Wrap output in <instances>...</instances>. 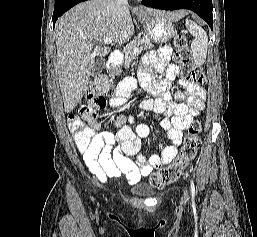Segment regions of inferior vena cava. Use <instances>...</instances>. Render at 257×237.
Instances as JSON below:
<instances>
[{
	"label": "inferior vena cava",
	"mask_w": 257,
	"mask_h": 237,
	"mask_svg": "<svg viewBox=\"0 0 257 237\" xmlns=\"http://www.w3.org/2000/svg\"><path fill=\"white\" fill-rule=\"evenodd\" d=\"M117 3L119 5H123V6H127L128 5V1L127 0H117Z\"/></svg>",
	"instance_id": "inferior-vena-cava-1"
}]
</instances>
